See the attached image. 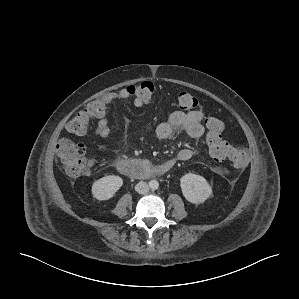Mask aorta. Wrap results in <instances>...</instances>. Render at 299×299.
I'll list each match as a JSON object with an SVG mask.
<instances>
[{
	"instance_id": "aorta-1",
	"label": "aorta",
	"mask_w": 299,
	"mask_h": 299,
	"mask_svg": "<svg viewBox=\"0 0 299 299\" xmlns=\"http://www.w3.org/2000/svg\"><path fill=\"white\" fill-rule=\"evenodd\" d=\"M149 187H150L152 190H156V189H158V187H159V182L156 181V180H151V181L149 182Z\"/></svg>"
}]
</instances>
